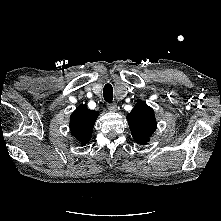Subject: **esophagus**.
I'll use <instances>...</instances> for the list:
<instances>
[{
    "label": "esophagus",
    "mask_w": 221,
    "mask_h": 221,
    "mask_svg": "<svg viewBox=\"0 0 221 221\" xmlns=\"http://www.w3.org/2000/svg\"><path fill=\"white\" fill-rule=\"evenodd\" d=\"M107 107H108V110H110L111 112L117 111V104L116 103H109L107 105Z\"/></svg>",
    "instance_id": "esophagus-1"
}]
</instances>
